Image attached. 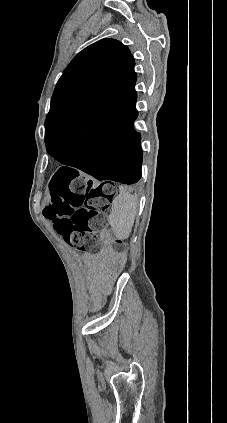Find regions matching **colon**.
I'll return each instance as SVG.
<instances>
[{
    "instance_id": "colon-1",
    "label": "colon",
    "mask_w": 227,
    "mask_h": 423,
    "mask_svg": "<svg viewBox=\"0 0 227 423\" xmlns=\"http://www.w3.org/2000/svg\"><path fill=\"white\" fill-rule=\"evenodd\" d=\"M113 196L112 185H95L74 171L59 170L50 183L44 215L68 245L93 253L100 247L97 233L104 227ZM115 248L120 250L121 244L117 242Z\"/></svg>"
}]
</instances>
